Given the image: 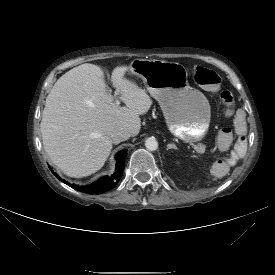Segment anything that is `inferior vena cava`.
I'll list each match as a JSON object with an SVG mask.
<instances>
[{"label": "inferior vena cava", "mask_w": 275, "mask_h": 275, "mask_svg": "<svg viewBox=\"0 0 275 275\" xmlns=\"http://www.w3.org/2000/svg\"><path fill=\"white\" fill-rule=\"evenodd\" d=\"M130 137V132L126 128H118L111 133L113 143L118 144L127 140Z\"/></svg>", "instance_id": "1"}]
</instances>
